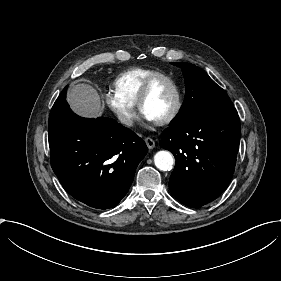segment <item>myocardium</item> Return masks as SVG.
<instances>
[{
    "mask_svg": "<svg viewBox=\"0 0 281 281\" xmlns=\"http://www.w3.org/2000/svg\"><path fill=\"white\" fill-rule=\"evenodd\" d=\"M161 82H167L169 83L175 92V103L174 107L171 111V113L162 121L155 122L158 126H166L171 124L175 119L178 117L181 109H182V91L180 88V85L178 82L170 75L168 74H159L151 77L146 84L144 85L140 96L137 101V106L139 109V112L144 115L143 112V106L147 99L150 97L151 93L153 92L156 85H158Z\"/></svg>",
    "mask_w": 281,
    "mask_h": 281,
    "instance_id": "myocardium-1",
    "label": "myocardium"
}]
</instances>
